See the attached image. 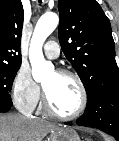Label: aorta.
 Returning <instances> with one entry per match:
<instances>
[{"label":"aorta","mask_w":119,"mask_h":141,"mask_svg":"<svg viewBox=\"0 0 119 141\" xmlns=\"http://www.w3.org/2000/svg\"><path fill=\"white\" fill-rule=\"evenodd\" d=\"M59 17L55 13H46L38 20L29 49V60L32 66V76L35 81H42L48 72L53 70L51 63L44 59L42 46L47 37L55 30Z\"/></svg>","instance_id":"obj_1"}]
</instances>
